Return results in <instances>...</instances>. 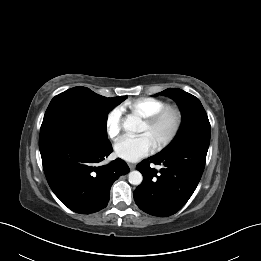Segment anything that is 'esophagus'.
Instances as JSON below:
<instances>
[{
    "instance_id": "34e87169",
    "label": "esophagus",
    "mask_w": 261,
    "mask_h": 261,
    "mask_svg": "<svg viewBox=\"0 0 261 261\" xmlns=\"http://www.w3.org/2000/svg\"><path fill=\"white\" fill-rule=\"evenodd\" d=\"M128 166H129V168H130L131 170L134 169V168L136 167V165L133 164V163H128Z\"/></svg>"
}]
</instances>
